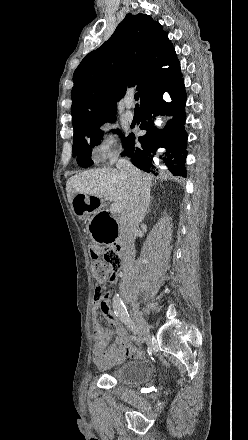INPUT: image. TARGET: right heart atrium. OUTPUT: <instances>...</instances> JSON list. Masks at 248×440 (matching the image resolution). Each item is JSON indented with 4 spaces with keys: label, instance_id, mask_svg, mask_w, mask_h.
<instances>
[{
    "label": "right heart atrium",
    "instance_id": "1",
    "mask_svg": "<svg viewBox=\"0 0 248 440\" xmlns=\"http://www.w3.org/2000/svg\"><path fill=\"white\" fill-rule=\"evenodd\" d=\"M121 150L119 136L110 124L102 125L93 147L92 157L95 163L113 162Z\"/></svg>",
    "mask_w": 248,
    "mask_h": 440
}]
</instances>
